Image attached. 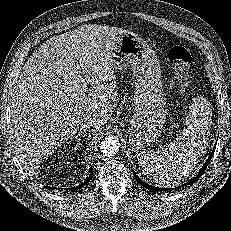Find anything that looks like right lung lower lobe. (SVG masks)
<instances>
[{"label":"right lung lower lobe","instance_id":"98d812e1","mask_svg":"<svg viewBox=\"0 0 231 231\" xmlns=\"http://www.w3.org/2000/svg\"><path fill=\"white\" fill-rule=\"evenodd\" d=\"M91 178H92V170H91L89 177L86 179V181H84V183H82L80 186L69 188V190L74 191V190H77L79 187L85 186L90 181ZM46 187L48 189H54V187H48V186Z\"/></svg>","mask_w":231,"mask_h":231}]
</instances>
